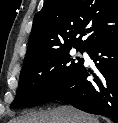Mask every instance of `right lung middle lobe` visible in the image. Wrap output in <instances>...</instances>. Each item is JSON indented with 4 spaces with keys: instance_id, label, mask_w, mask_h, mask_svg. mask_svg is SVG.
Returning a JSON list of instances; mask_svg holds the SVG:
<instances>
[{
    "instance_id": "1",
    "label": "right lung middle lobe",
    "mask_w": 118,
    "mask_h": 123,
    "mask_svg": "<svg viewBox=\"0 0 118 123\" xmlns=\"http://www.w3.org/2000/svg\"><path fill=\"white\" fill-rule=\"evenodd\" d=\"M71 49H58L23 64L17 94L11 107L44 101L65 85L84 63L83 58L72 57Z\"/></svg>"
}]
</instances>
